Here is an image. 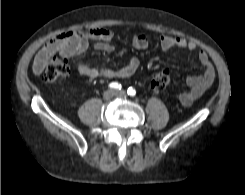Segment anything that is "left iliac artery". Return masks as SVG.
<instances>
[{"label": "left iliac artery", "instance_id": "obj_1", "mask_svg": "<svg viewBox=\"0 0 245 195\" xmlns=\"http://www.w3.org/2000/svg\"><path fill=\"white\" fill-rule=\"evenodd\" d=\"M127 94L130 95V96H135L136 94V90L132 87H129L128 90H127Z\"/></svg>", "mask_w": 245, "mask_h": 195}]
</instances>
